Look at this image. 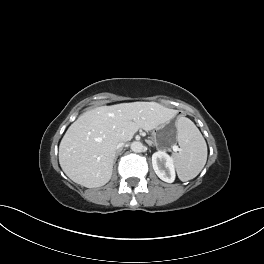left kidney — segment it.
I'll return each instance as SVG.
<instances>
[{"label": "left kidney", "mask_w": 264, "mask_h": 264, "mask_svg": "<svg viewBox=\"0 0 264 264\" xmlns=\"http://www.w3.org/2000/svg\"><path fill=\"white\" fill-rule=\"evenodd\" d=\"M152 165L155 173L161 180L167 183L174 182V161L165 151H157L152 155Z\"/></svg>", "instance_id": "5707ae66"}]
</instances>
